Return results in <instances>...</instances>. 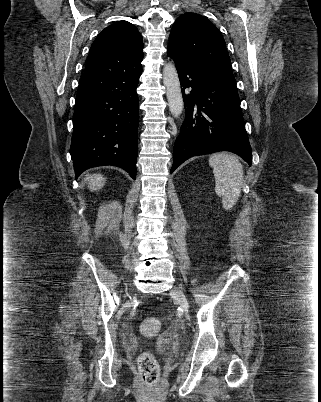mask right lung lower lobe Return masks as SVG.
Returning <instances> with one entry per match:
<instances>
[{
	"label": "right lung lower lobe",
	"mask_w": 321,
	"mask_h": 402,
	"mask_svg": "<svg viewBox=\"0 0 321 402\" xmlns=\"http://www.w3.org/2000/svg\"><path fill=\"white\" fill-rule=\"evenodd\" d=\"M142 69L82 77L73 115L70 154L76 176L91 167L114 165L136 178Z\"/></svg>",
	"instance_id": "1"
}]
</instances>
